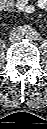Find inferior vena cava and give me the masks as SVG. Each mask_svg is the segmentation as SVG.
I'll return each instance as SVG.
<instances>
[{
    "label": "inferior vena cava",
    "instance_id": "obj_1",
    "mask_svg": "<svg viewBox=\"0 0 47 129\" xmlns=\"http://www.w3.org/2000/svg\"><path fill=\"white\" fill-rule=\"evenodd\" d=\"M11 37L14 38V39H20L21 36L18 35L17 33H15V32H12Z\"/></svg>",
    "mask_w": 47,
    "mask_h": 129
}]
</instances>
